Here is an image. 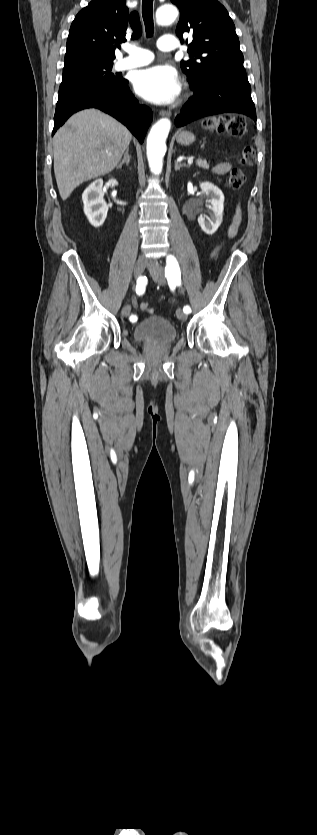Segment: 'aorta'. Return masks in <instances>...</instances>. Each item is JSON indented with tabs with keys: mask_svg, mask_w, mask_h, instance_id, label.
I'll list each match as a JSON object with an SVG mask.
<instances>
[{
	"mask_svg": "<svg viewBox=\"0 0 317 835\" xmlns=\"http://www.w3.org/2000/svg\"><path fill=\"white\" fill-rule=\"evenodd\" d=\"M178 16L175 6L165 4L157 9L156 19L161 25L173 23ZM171 128V122L167 118L158 120L151 128L147 138V159L151 172L160 174L163 168V159L166 153V139Z\"/></svg>",
	"mask_w": 317,
	"mask_h": 835,
	"instance_id": "obj_1",
	"label": "aorta"
}]
</instances>
